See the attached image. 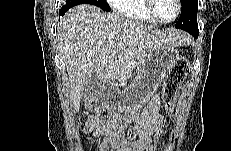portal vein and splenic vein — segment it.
<instances>
[{
    "mask_svg": "<svg viewBox=\"0 0 231 151\" xmlns=\"http://www.w3.org/2000/svg\"><path fill=\"white\" fill-rule=\"evenodd\" d=\"M119 48L121 49V48H122V46H121V45H119Z\"/></svg>",
    "mask_w": 231,
    "mask_h": 151,
    "instance_id": "1",
    "label": "portal vein and splenic vein"
}]
</instances>
